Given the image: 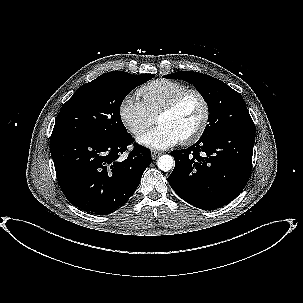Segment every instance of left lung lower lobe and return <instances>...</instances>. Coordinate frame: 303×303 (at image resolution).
<instances>
[{
  "mask_svg": "<svg viewBox=\"0 0 303 303\" xmlns=\"http://www.w3.org/2000/svg\"><path fill=\"white\" fill-rule=\"evenodd\" d=\"M254 142L255 128L232 129L172 151L175 168L168 177L170 186L197 208L227 205L249 180Z\"/></svg>",
  "mask_w": 303,
  "mask_h": 303,
  "instance_id": "obj_1",
  "label": "left lung lower lobe"
}]
</instances>
